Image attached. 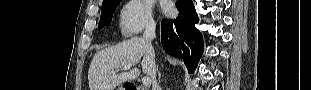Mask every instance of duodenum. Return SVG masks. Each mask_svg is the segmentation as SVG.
<instances>
[{
	"label": "duodenum",
	"instance_id": "1",
	"mask_svg": "<svg viewBox=\"0 0 311 90\" xmlns=\"http://www.w3.org/2000/svg\"><path fill=\"white\" fill-rule=\"evenodd\" d=\"M125 90H140V88H138L135 85H129V86H127V88Z\"/></svg>",
	"mask_w": 311,
	"mask_h": 90
}]
</instances>
